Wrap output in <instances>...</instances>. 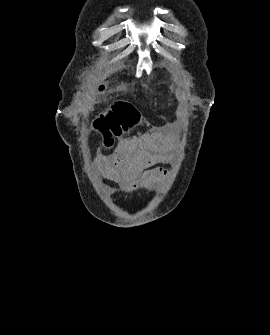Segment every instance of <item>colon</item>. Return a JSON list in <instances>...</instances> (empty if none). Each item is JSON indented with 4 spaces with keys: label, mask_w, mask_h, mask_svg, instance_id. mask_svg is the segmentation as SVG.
<instances>
[{
    "label": "colon",
    "mask_w": 270,
    "mask_h": 335,
    "mask_svg": "<svg viewBox=\"0 0 270 335\" xmlns=\"http://www.w3.org/2000/svg\"><path fill=\"white\" fill-rule=\"evenodd\" d=\"M115 108H126L127 110H115L114 116H105V110H98L97 115L92 117L93 123H104L102 133L120 135L128 133L131 127L138 122L140 110H136L127 102H114ZM112 123L113 127H112ZM104 148H111V141H104Z\"/></svg>",
    "instance_id": "obj_1"
}]
</instances>
